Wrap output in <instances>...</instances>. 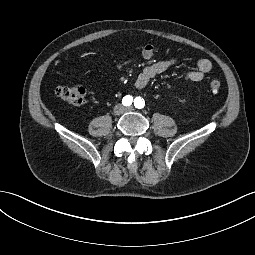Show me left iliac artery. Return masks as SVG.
Masks as SVG:
<instances>
[{
  "label": "left iliac artery",
  "instance_id": "1",
  "mask_svg": "<svg viewBox=\"0 0 255 255\" xmlns=\"http://www.w3.org/2000/svg\"><path fill=\"white\" fill-rule=\"evenodd\" d=\"M145 105L144 100L141 97H136L134 100V106L138 109H142Z\"/></svg>",
  "mask_w": 255,
  "mask_h": 255
}]
</instances>
